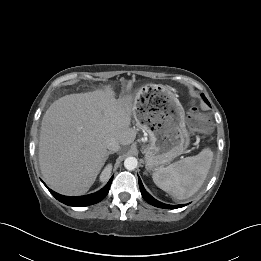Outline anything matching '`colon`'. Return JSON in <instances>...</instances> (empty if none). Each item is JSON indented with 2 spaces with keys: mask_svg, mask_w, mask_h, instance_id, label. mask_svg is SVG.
<instances>
[{
  "mask_svg": "<svg viewBox=\"0 0 261 261\" xmlns=\"http://www.w3.org/2000/svg\"><path fill=\"white\" fill-rule=\"evenodd\" d=\"M187 126L193 133H203L208 130L207 117L195 105H191L188 110Z\"/></svg>",
  "mask_w": 261,
  "mask_h": 261,
  "instance_id": "obj_1",
  "label": "colon"
}]
</instances>
